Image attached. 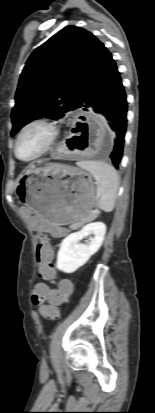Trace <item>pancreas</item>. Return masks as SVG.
I'll list each match as a JSON object with an SVG mask.
<instances>
[{"label":"pancreas","mask_w":155,"mask_h":413,"mask_svg":"<svg viewBox=\"0 0 155 413\" xmlns=\"http://www.w3.org/2000/svg\"><path fill=\"white\" fill-rule=\"evenodd\" d=\"M97 215H98L97 213L90 214L86 219L74 222L73 224L70 225L69 228L73 230L78 229L81 226H83L86 222L94 220L97 217Z\"/></svg>","instance_id":"pancreas-1"}]
</instances>
